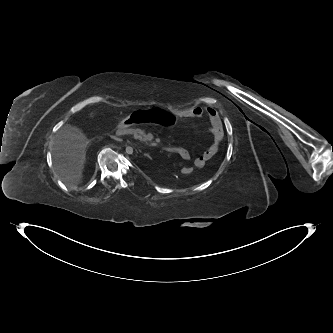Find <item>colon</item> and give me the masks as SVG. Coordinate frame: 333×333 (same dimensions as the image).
<instances>
[{
  "instance_id": "colon-1",
  "label": "colon",
  "mask_w": 333,
  "mask_h": 333,
  "mask_svg": "<svg viewBox=\"0 0 333 333\" xmlns=\"http://www.w3.org/2000/svg\"><path fill=\"white\" fill-rule=\"evenodd\" d=\"M177 120V117L175 115V113L168 111V110H164V109H148L144 112L137 110L135 112L129 113L127 115H125L123 122L125 124V126L132 128L134 126L140 125L144 122L148 123V124H164V125H168L171 126L173 124H175ZM180 171L185 174H191L194 171V168L191 165H183L180 168Z\"/></svg>"
}]
</instances>
